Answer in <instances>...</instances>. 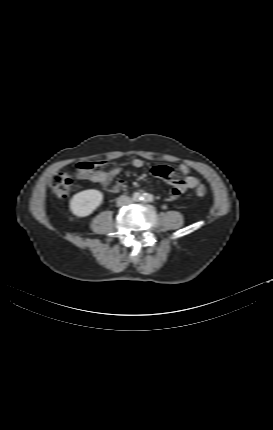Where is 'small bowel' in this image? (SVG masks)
Wrapping results in <instances>:
<instances>
[{"instance_id": "c3829d8e", "label": "small bowel", "mask_w": 273, "mask_h": 430, "mask_svg": "<svg viewBox=\"0 0 273 430\" xmlns=\"http://www.w3.org/2000/svg\"><path fill=\"white\" fill-rule=\"evenodd\" d=\"M103 161L97 162H79L76 165V175L79 178L89 180L91 182L102 185L108 192L118 193L126 188L123 180H118L113 186L109 187L110 182L120 173L119 167H113L108 170H93L94 167L102 165ZM129 165L134 168H142L145 162L140 158H134L129 161ZM180 172L185 175L183 179L173 178V169L169 166H157L152 169V173L160 178L166 180L170 185L169 201L178 199L185 191L195 189L199 185V180L190 175V168L181 164L179 167Z\"/></svg>"}]
</instances>
